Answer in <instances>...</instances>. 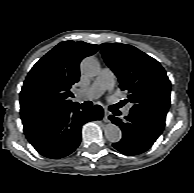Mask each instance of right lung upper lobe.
<instances>
[{
    "label": "right lung upper lobe",
    "mask_w": 194,
    "mask_h": 193,
    "mask_svg": "<svg viewBox=\"0 0 194 193\" xmlns=\"http://www.w3.org/2000/svg\"><path fill=\"white\" fill-rule=\"evenodd\" d=\"M98 50L85 42L64 41L30 70L20 92L21 118L51 113L76 103L70 88L80 77V61Z\"/></svg>",
    "instance_id": "obj_1"
}]
</instances>
